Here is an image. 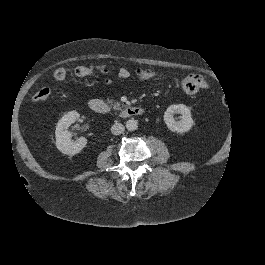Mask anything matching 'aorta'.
I'll list each match as a JSON object with an SVG mask.
<instances>
[{"label":"aorta","mask_w":265,"mask_h":265,"mask_svg":"<svg viewBox=\"0 0 265 265\" xmlns=\"http://www.w3.org/2000/svg\"><path fill=\"white\" fill-rule=\"evenodd\" d=\"M125 126H126V129L130 131H134L138 128V122L137 120L131 118L126 122Z\"/></svg>","instance_id":"1"}]
</instances>
